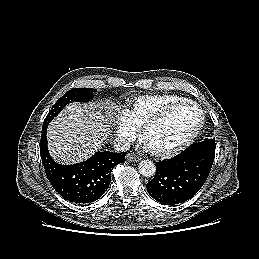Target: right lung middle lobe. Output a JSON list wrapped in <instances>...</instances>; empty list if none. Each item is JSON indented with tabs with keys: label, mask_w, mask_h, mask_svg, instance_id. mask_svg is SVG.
Masks as SVG:
<instances>
[{
	"label": "right lung middle lobe",
	"mask_w": 259,
	"mask_h": 259,
	"mask_svg": "<svg viewBox=\"0 0 259 259\" xmlns=\"http://www.w3.org/2000/svg\"><path fill=\"white\" fill-rule=\"evenodd\" d=\"M94 89L92 88H75L67 91L52 107L43 124L49 122L57 116L60 111L69 103L76 102H89L93 99Z\"/></svg>",
	"instance_id": "dd1d6c3e"
}]
</instances>
